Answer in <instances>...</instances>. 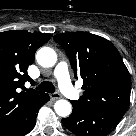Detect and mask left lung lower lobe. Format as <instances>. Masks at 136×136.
I'll use <instances>...</instances> for the list:
<instances>
[{"mask_svg":"<svg viewBox=\"0 0 136 136\" xmlns=\"http://www.w3.org/2000/svg\"><path fill=\"white\" fill-rule=\"evenodd\" d=\"M72 103V102H71ZM72 114L63 125L77 136H104L117 126L123 115L72 103Z\"/></svg>","mask_w":136,"mask_h":136,"instance_id":"obj_1","label":"left lung lower lobe"}]
</instances>
